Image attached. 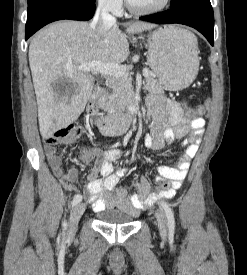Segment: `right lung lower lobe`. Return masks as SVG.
<instances>
[{"instance_id": "right-lung-lower-lobe-1", "label": "right lung lower lobe", "mask_w": 247, "mask_h": 275, "mask_svg": "<svg viewBox=\"0 0 247 275\" xmlns=\"http://www.w3.org/2000/svg\"><path fill=\"white\" fill-rule=\"evenodd\" d=\"M95 4L77 0H41L28 6L26 40L53 21L71 19L86 21L93 17Z\"/></svg>"}]
</instances>
